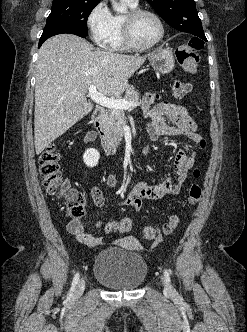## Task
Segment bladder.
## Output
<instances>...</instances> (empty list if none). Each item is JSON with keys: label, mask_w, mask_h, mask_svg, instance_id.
Instances as JSON below:
<instances>
[{"label": "bladder", "mask_w": 247, "mask_h": 332, "mask_svg": "<svg viewBox=\"0 0 247 332\" xmlns=\"http://www.w3.org/2000/svg\"><path fill=\"white\" fill-rule=\"evenodd\" d=\"M147 276L143 256L131 249L111 246L98 253L94 262V277L113 290L139 288Z\"/></svg>", "instance_id": "31cf9c89"}]
</instances>
